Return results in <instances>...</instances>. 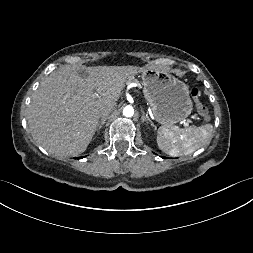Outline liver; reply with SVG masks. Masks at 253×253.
<instances>
[{
  "mask_svg": "<svg viewBox=\"0 0 253 253\" xmlns=\"http://www.w3.org/2000/svg\"><path fill=\"white\" fill-rule=\"evenodd\" d=\"M137 67L65 66L52 72L37 89L28 108L33 139L50 153L77 156L91 142L101 109L120 98ZM94 92L100 94L93 97Z\"/></svg>",
  "mask_w": 253,
  "mask_h": 253,
  "instance_id": "1",
  "label": "liver"
}]
</instances>
